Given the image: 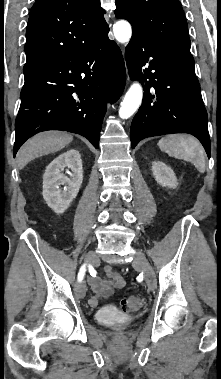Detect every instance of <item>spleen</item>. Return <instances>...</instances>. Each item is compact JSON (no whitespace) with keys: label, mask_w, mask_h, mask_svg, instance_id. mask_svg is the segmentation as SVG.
<instances>
[{"label":"spleen","mask_w":221,"mask_h":379,"mask_svg":"<svg viewBox=\"0 0 221 379\" xmlns=\"http://www.w3.org/2000/svg\"><path fill=\"white\" fill-rule=\"evenodd\" d=\"M158 146L169 156L191 162L200 173L205 172V151L194 137L171 134L161 138Z\"/></svg>","instance_id":"obj_1"}]
</instances>
